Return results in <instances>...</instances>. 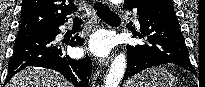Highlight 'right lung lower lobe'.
Wrapping results in <instances>:
<instances>
[{
  "mask_svg": "<svg viewBox=\"0 0 205 87\" xmlns=\"http://www.w3.org/2000/svg\"><path fill=\"white\" fill-rule=\"evenodd\" d=\"M60 25L18 33L13 56L8 63L5 84L19 71L35 66L58 71L75 87L88 86L92 62L88 56L81 60L71 59L62 51L60 45L55 42L56 36L61 32ZM82 43L83 39L78 34L70 41L71 46Z\"/></svg>",
  "mask_w": 205,
  "mask_h": 87,
  "instance_id": "98d812e1",
  "label": "right lung lower lobe"
}]
</instances>
